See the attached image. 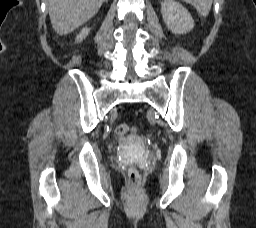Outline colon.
I'll return each instance as SVG.
<instances>
[{
  "instance_id": "1",
  "label": "colon",
  "mask_w": 256,
  "mask_h": 228,
  "mask_svg": "<svg viewBox=\"0 0 256 228\" xmlns=\"http://www.w3.org/2000/svg\"><path fill=\"white\" fill-rule=\"evenodd\" d=\"M115 131L118 136L123 137V136L130 135L131 133H133L134 130L130 125H128L126 123H121L116 127ZM140 180H141V177H140V173L138 172V170L135 168H131L129 170V175H128L129 187L131 189H136L140 184Z\"/></svg>"
}]
</instances>
